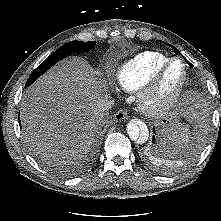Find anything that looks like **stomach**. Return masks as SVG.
I'll list each match as a JSON object with an SVG mask.
<instances>
[{"label":"stomach","instance_id":"1","mask_svg":"<svg viewBox=\"0 0 221 221\" xmlns=\"http://www.w3.org/2000/svg\"><path fill=\"white\" fill-rule=\"evenodd\" d=\"M180 116L181 111L179 109L167 111L159 121L161 130L167 131L168 129L174 128L178 124Z\"/></svg>","mask_w":221,"mask_h":221}]
</instances>
